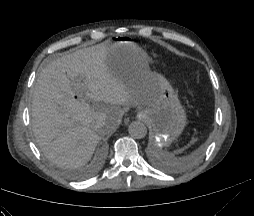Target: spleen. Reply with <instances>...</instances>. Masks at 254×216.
<instances>
[{
    "mask_svg": "<svg viewBox=\"0 0 254 216\" xmlns=\"http://www.w3.org/2000/svg\"><path fill=\"white\" fill-rule=\"evenodd\" d=\"M157 154L160 159H162L165 163L169 165H175L177 163V158L174 154H170L166 151H162L160 149L157 150Z\"/></svg>",
    "mask_w": 254,
    "mask_h": 216,
    "instance_id": "1",
    "label": "spleen"
}]
</instances>
